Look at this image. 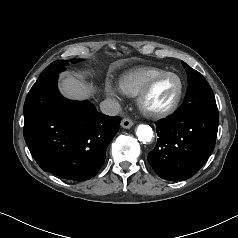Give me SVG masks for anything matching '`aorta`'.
<instances>
[{
  "mask_svg": "<svg viewBox=\"0 0 238 238\" xmlns=\"http://www.w3.org/2000/svg\"><path fill=\"white\" fill-rule=\"evenodd\" d=\"M136 135L139 141L150 142L153 138V130L149 125L140 124L136 129Z\"/></svg>",
  "mask_w": 238,
  "mask_h": 238,
  "instance_id": "1",
  "label": "aorta"
}]
</instances>
